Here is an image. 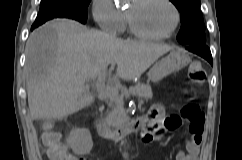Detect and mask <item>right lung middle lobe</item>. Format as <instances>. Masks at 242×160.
<instances>
[{"instance_id":"1","label":"right lung middle lobe","mask_w":242,"mask_h":160,"mask_svg":"<svg viewBox=\"0 0 242 160\" xmlns=\"http://www.w3.org/2000/svg\"><path fill=\"white\" fill-rule=\"evenodd\" d=\"M91 0H41L40 10L32 25L40 26L53 18H70L83 24L87 21V8Z\"/></svg>"}]
</instances>
